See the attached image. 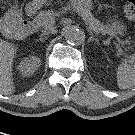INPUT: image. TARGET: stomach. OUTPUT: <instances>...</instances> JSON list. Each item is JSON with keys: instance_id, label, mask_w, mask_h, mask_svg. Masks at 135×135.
<instances>
[{"instance_id": "0dacf381", "label": "stomach", "mask_w": 135, "mask_h": 135, "mask_svg": "<svg viewBox=\"0 0 135 135\" xmlns=\"http://www.w3.org/2000/svg\"><path fill=\"white\" fill-rule=\"evenodd\" d=\"M125 29V26L123 24H121L118 21H114L110 27V34L114 35L117 33H122V31Z\"/></svg>"}]
</instances>
